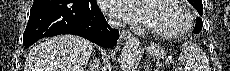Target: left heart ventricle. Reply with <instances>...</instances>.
<instances>
[{
	"mask_svg": "<svg viewBox=\"0 0 230 71\" xmlns=\"http://www.w3.org/2000/svg\"><path fill=\"white\" fill-rule=\"evenodd\" d=\"M146 6L148 26L160 30H176L185 24V17L181 10L170 2L149 0Z\"/></svg>",
	"mask_w": 230,
	"mask_h": 71,
	"instance_id": "b2bd125f",
	"label": "left heart ventricle"
}]
</instances>
